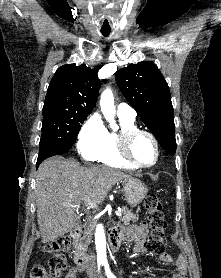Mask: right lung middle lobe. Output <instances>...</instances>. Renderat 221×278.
<instances>
[{"instance_id":"right-lung-middle-lobe-1","label":"right lung middle lobe","mask_w":221,"mask_h":278,"mask_svg":"<svg viewBox=\"0 0 221 278\" xmlns=\"http://www.w3.org/2000/svg\"><path fill=\"white\" fill-rule=\"evenodd\" d=\"M88 115L68 116L63 113H43L42 137L39 156L72 146Z\"/></svg>"}]
</instances>
